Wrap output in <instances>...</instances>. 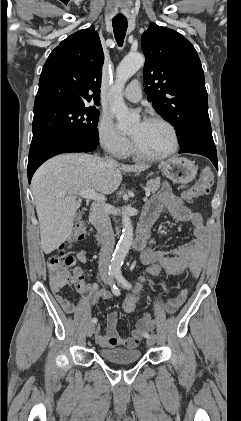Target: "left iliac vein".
<instances>
[{
  "label": "left iliac vein",
  "instance_id": "1",
  "mask_svg": "<svg viewBox=\"0 0 241 421\" xmlns=\"http://www.w3.org/2000/svg\"><path fill=\"white\" fill-rule=\"evenodd\" d=\"M147 344L149 346H152L156 343V336L155 335H150L147 340H146Z\"/></svg>",
  "mask_w": 241,
  "mask_h": 421
}]
</instances>
